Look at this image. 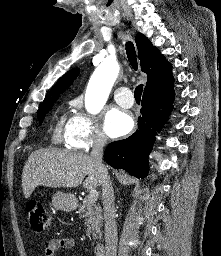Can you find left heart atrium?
I'll use <instances>...</instances> for the list:
<instances>
[{"label":"left heart atrium","mask_w":221,"mask_h":256,"mask_svg":"<svg viewBox=\"0 0 221 256\" xmlns=\"http://www.w3.org/2000/svg\"><path fill=\"white\" fill-rule=\"evenodd\" d=\"M133 127L132 117L119 108H110L104 117V131L111 138L127 134Z\"/></svg>","instance_id":"obj_1"}]
</instances>
